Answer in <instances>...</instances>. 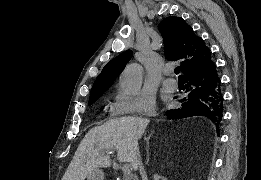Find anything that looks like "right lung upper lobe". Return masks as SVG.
<instances>
[{
  "label": "right lung upper lobe",
  "mask_w": 261,
  "mask_h": 180,
  "mask_svg": "<svg viewBox=\"0 0 261 180\" xmlns=\"http://www.w3.org/2000/svg\"><path fill=\"white\" fill-rule=\"evenodd\" d=\"M158 29L163 37L166 58L181 61L183 74L211 61V52L203 39L197 37L181 17L165 18L160 22ZM132 54V51L127 50L106 64L93 84L90 98L101 96L109 88Z\"/></svg>",
  "instance_id": "right-lung-upper-lobe-1"
}]
</instances>
